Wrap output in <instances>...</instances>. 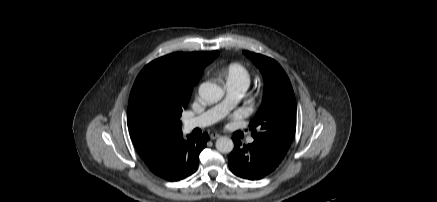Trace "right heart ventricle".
<instances>
[{"label":"right heart ventricle","mask_w":437,"mask_h":202,"mask_svg":"<svg viewBox=\"0 0 437 202\" xmlns=\"http://www.w3.org/2000/svg\"><path fill=\"white\" fill-rule=\"evenodd\" d=\"M222 75L227 84H239L246 87L250 83V73L248 69L239 62L230 63L223 71Z\"/></svg>","instance_id":"obj_1"}]
</instances>
